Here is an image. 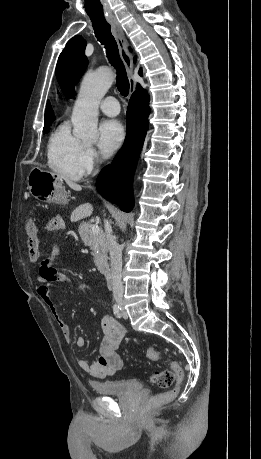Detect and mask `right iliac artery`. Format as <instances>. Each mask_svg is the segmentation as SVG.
<instances>
[{
  "label": "right iliac artery",
  "mask_w": 261,
  "mask_h": 459,
  "mask_svg": "<svg viewBox=\"0 0 261 459\" xmlns=\"http://www.w3.org/2000/svg\"><path fill=\"white\" fill-rule=\"evenodd\" d=\"M113 312H114V314H115L116 317L121 318V316H122V309H121V307H120L119 305H116V304H115V305L113 306Z\"/></svg>",
  "instance_id": "right-iliac-artery-1"
}]
</instances>
